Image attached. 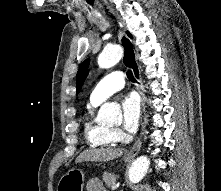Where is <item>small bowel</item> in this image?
I'll use <instances>...</instances> for the list:
<instances>
[{"label": "small bowel", "mask_w": 221, "mask_h": 191, "mask_svg": "<svg viewBox=\"0 0 221 191\" xmlns=\"http://www.w3.org/2000/svg\"><path fill=\"white\" fill-rule=\"evenodd\" d=\"M87 191H106L101 181L97 178H92L87 182Z\"/></svg>", "instance_id": "c3829d8e"}]
</instances>
